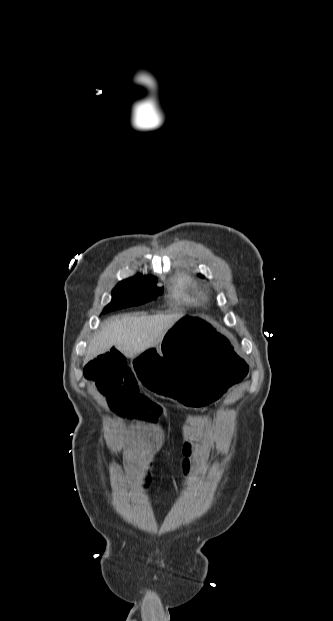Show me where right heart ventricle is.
<instances>
[{"label": "right heart ventricle", "mask_w": 333, "mask_h": 621, "mask_svg": "<svg viewBox=\"0 0 333 621\" xmlns=\"http://www.w3.org/2000/svg\"><path fill=\"white\" fill-rule=\"evenodd\" d=\"M171 294L176 299L187 303L200 304L204 302L205 296L198 289L196 283L188 277H181L174 281Z\"/></svg>", "instance_id": "obj_1"}]
</instances>
